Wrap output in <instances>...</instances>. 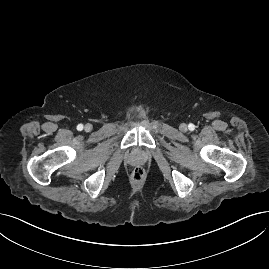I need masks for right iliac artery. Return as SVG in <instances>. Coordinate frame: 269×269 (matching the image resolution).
<instances>
[{
	"label": "right iliac artery",
	"instance_id": "82829eb1",
	"mask_svg": "<svg viewBox=\"0 0 269 269\" xmlns=\"http://www.w3.org/2000/svg\"><path fill=\"white\" fill-rule=\"evenodd\" d=\"M77 130H78V131L83 130V125H82V124H79V125L77 126Z\"/></svg>",
	"mask_w": 269,
	"mask_h": 269
}]
</instances>
